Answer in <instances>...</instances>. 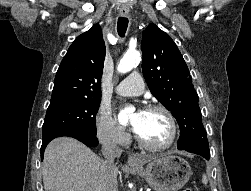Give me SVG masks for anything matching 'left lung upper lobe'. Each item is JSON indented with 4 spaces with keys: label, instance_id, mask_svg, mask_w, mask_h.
<instances>
[{
    "label": "left lung upper lobe",
    "instance_id": "obj_1",
    "mask_svg": "<svg viewBox=\"0 0 251 191\" xmlns=\"http://www.w3.org/2000/svg\"><path fill=\"white\" fill-rule=\"evenodd\" d=\"M142 71L151 93L171 111L180 127L178 148L198 146L210 153L198 95L188 67L171 37L150 24L142 34Z\"/></svg>",
    "mask_w": 251,
    "mask_h": 191
}]
</instances>
